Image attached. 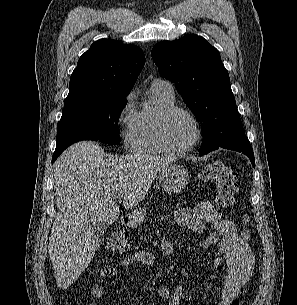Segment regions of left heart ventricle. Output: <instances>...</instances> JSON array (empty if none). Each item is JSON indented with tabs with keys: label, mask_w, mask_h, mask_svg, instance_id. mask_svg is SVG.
I'll use <instances>...</instances> for the list:
<instances>
[{
	"label": "left heart ventricle",
	"mask_w": 297,
	"mask_h": 305,
	"mask_svg": "<svg viewBox=\"0 0 297 305\" xmlns=\"http://www.w3.org/2000/svg\"><path fill=\"white\" fill-rule=\"evenodd\" d=\"M166 137L174 147L188 145L195 136V127L189 117L182 113H176L166 123Z\"/></svg>",
	"instance_id": "obj_1"
}]
</instances>
